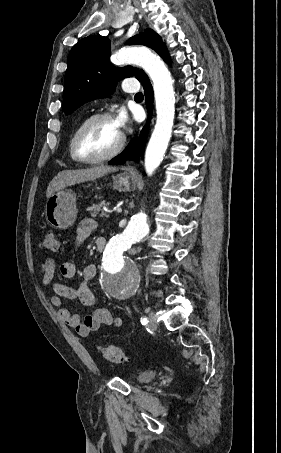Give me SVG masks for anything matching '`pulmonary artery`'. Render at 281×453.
Masks as SVG:
<instances>
[{
  "mask_svg": "<svg viewBox=\"0 0 281 453\" xmlns=\"http://www.w3.org/2000/svg\"><path fill=\"white\" fill-rule=\"evenodd\" d=\"M129 79H132V78H129ZM122 88H123V90H125V91H130V89H129L128 87H126V85L124 84V82H123V84H122Z\"/></svg>",
  "mask_w": 281,
  "mask_h": 453,
  "instance_id": "1",
  "label": "pulmonary artery"
}]
</instances>
